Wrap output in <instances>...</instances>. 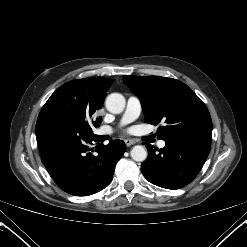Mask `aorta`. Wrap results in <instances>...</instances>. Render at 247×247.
I'll list each match as a JSON object with an SVG mask.
<instances>
[{
    "label": "aorta",
    "instance_id": "obj_1",
    "mask_svg": "<svg viewBox=\"0 0 247 247\" xmlns=\"http://www.w3.org/2000/svg\"><path fill=\"white\" fill-rule=\"evenodd\" d=\"M106 108L110 113L119 114L125 108V98L122 94L112 93L106 98ZM130 155L134 161L143 162L147 158V151L142 145H136L131 149Z\"/></svg>",
    "mask_w": 247,
    "mask_h": 247
}]
</instances>
